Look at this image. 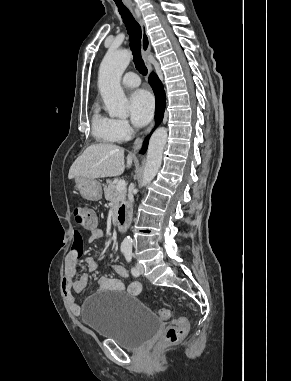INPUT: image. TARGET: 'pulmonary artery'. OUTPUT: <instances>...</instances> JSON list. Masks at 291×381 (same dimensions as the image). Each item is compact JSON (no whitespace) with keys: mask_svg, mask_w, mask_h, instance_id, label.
Returning a JSON list of instances; mask_svg holds the SVG:
<instances>
[{"mask_svg":"<svg viewBox=\"0 0 291 381\" xmlns=\"http://www.w3.org/2000/svg\"><path fill=\"white\" fill-rule=\"evenodd\" d=\"M122 84L128 88H135L140 85V79L136 73L128 72L123 76Z\"/></svg>","mask_w":291,"mask_h":381,"instance_id":"1","label":"pulmonary artery"}]
</instances>
